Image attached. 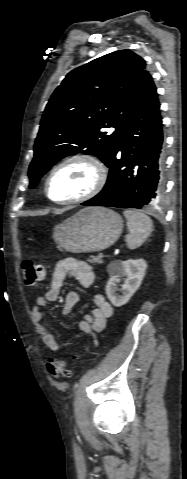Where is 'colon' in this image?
Listing matches in <instances>:
<instances>
[{"label": "colon", "mask_w": 187, "mask_h": 479, "mask_svg": "<svg viewBox=\"0 0 187 479\" xmlns=\"http://www.w3.org/2000/svg\"><path fill=\"white\" fill-rule=\"evenodd\" d=\"M23 281L26 285H34L44 276V268L33 260L25 259L21 263ZM47 369L54 378H68L70 372L67 369V360L64 358H52L47 362Z\"/></svg>", "instance_id": "5ec220e1"}]
</instances>
